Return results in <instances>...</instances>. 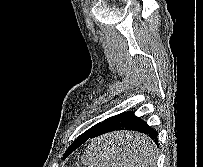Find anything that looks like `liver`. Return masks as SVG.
I'll return each mask as SVG.
<instances>
[{
  "label": "liver",
  "mask_w": 203,
  "mask_h": 167,
  "mask_svg": "<svg viewBox=\"0 0 203 167\" xmlns=\"http://www.w3.org/2000/svg\"><path fill=\"white\" fill-rule=\"evenodd\" d=\"M138 134L136 133H128V132H122V133H116V134H111L109 135L110 138H115V141L118 143H123V142H130L132 143V139ZM120 154L121 160H128L130 163H133V166L135 167H139L140 165H143L144 162H140L137 161L135 162V157H137L136 155V151L133 150H126V149H118L117 150ZM139 160V159H137Z\"/></svg>",
  "instance_id": "liver-1"
}]
</instances>
